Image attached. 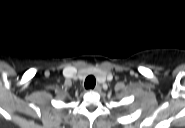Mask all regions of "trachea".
Wrapping results in <instances>:
<instances>
[{"label":"trachea","mask_w":185,"mask_h":128,"mask_svg":"<svg viewBox=\"0 0 185 128\" xmlns=\"http://www.w3.org/2000/svg\"><path fill=\"white\" fill-rule=\"evenodd\" d=\"M96 84V79L94 76L90 75L86 78L84 86L86 89L94 88Z\"/></svg>","instance_id":"obj_1"}]
</instances>
